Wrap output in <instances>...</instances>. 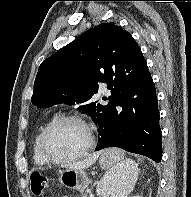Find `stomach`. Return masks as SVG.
<instances>
[{
  "label": "stomach",
  "mask_w": 191,
  "mask_h": 197,
  "mask_svg": "<svg viewBox=\"0 0 191 197\" xmlns=\"http://www.w3.org/2000/svg\"><path fill=\"white\" fill-rule=\"evenodd\" d=\"M123 156L109 150H105L99 159L101 168L110 170L113 168ZM59 180L61 184L67 188L83 192L89 185L90 180L84 170L65 169L60 172Z\"/></svg>",
  "instance_id": "stomach-1"
}]
</instances>
